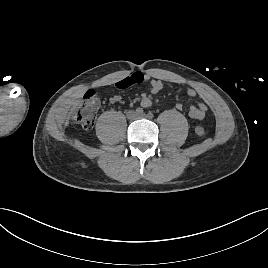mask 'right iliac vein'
Here are the masks:
<instances>
[{"label": "right iliac vein", "mask_w": 268, "mask_h": 268, "mask_svg": "<svg viewBox=\"0 0 268 268\" xmlns=\"http://www.w3.org/2000/svg\"><path fill=\"white\" fill-rule=\"evenodd\" d=\"M137 116L138 115H137V113L135 111L130 110V111L127 112V118L129 120H135V119H137Z\"/></svg>", "instance_id": "right-iliac-vein-1"}]
</instances>
